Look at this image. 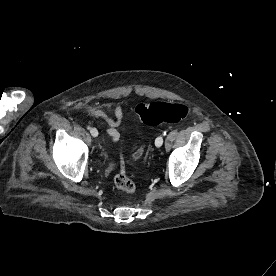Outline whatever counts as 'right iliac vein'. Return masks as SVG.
Instances as JSON below:
<instances>
[{"mask_svg":"<svg viewBox=\"0 0 276 276\" xmlns=\"http://www.w3.org/2000/svg\"><path fill=\"white\" fill-rule=\"evenodd\" d=\"M90 133L93 137H97L98 136V131L96 128H91L90 129Z\"/></svg>","mask_w":276,"mask_h":276,"instance_id":"63e3f726","label":"right iliac vein"}]
</instances>
